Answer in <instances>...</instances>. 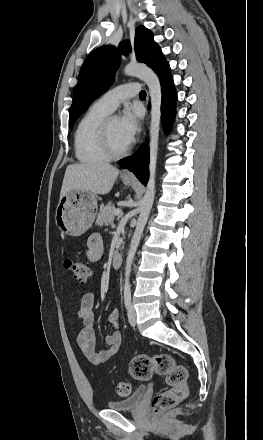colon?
<instances>
[{"instance_id":"colon-1","label":"colon","mask_w":263,"mask_h":440,"mask_svg":"<svg viewBox=\"0 0 263 440\" xmlns=\"http://www.w3.org/2000/svg\"><path fill=\"white\" fill-rule=\"evenodd\" d=\"M63 265L79 282H85L90 276V267L84 262L65 258ZM128 369L131 377L138 381H147L154 374L165 378L168 389L157 394L151 403L156 413L175 407L187 395V370L183 365L176 363L169 353L160 352L152 356L137 355L130 360ZM131 389L132 386L128 382L117 386L121 395L130 394Z\"/></svg>"}]
</instances>
